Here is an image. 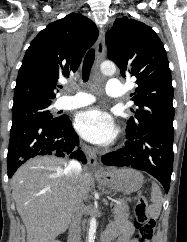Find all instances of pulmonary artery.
Listing matches in <instances>:
<instances>
[{
    "label": "pulmonary artery",
    "mask_w": 187,
    "mask_h": 242,
    "mask_svg": "<svg viewBox=\"0 0 187 242\" xmlns=\"http://www.w3.org/2000/svg\"><path fill=\"white\" fill-rule=\"evenodd\" d=\"M123 84L117 79H110L106 85V93L110 97H120L123 95ZM93 98L83 92H78L75 96H64L59 102L62 109L79 108L90 104Z\"/></svg>",
    "instance_id": "e3ab8cb5"
}]
</instances>
